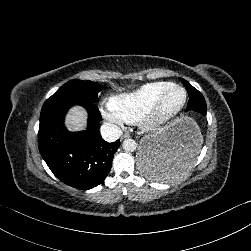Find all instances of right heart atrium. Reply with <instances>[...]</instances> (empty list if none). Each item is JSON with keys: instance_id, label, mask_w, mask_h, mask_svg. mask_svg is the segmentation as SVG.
<instances>
[{"instance_id": "obj_1", "label": "right heart atrium", "mask_w": 251, "mask_h": 251, "mask_svg": "<svg viewBox=\"0 0 251 251\" xmlns=\"http://www.w3.org/2000/svg\"><path fill=\"white\" fill-rule=\"evenodd\" d=\"M100 110L103 117L117 128H122L124 125L132 122V120L125 116L119 109L115 99L108 98L102 100Z\"/></svg>"}]
</instances>
